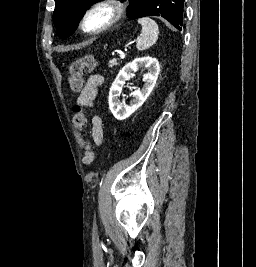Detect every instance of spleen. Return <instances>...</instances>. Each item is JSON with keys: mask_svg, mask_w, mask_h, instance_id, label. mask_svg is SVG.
<instances>
[{"mask_svg": "<svg viewBox=\"0 0 256 267\" xmlns=\"http://www.w3.org/2000/svg\"><path fill=\"white\" fill-rule=\"evenodd\" d=\"M138 24H141L142 30L136 44L137 50H148L151 46H154L158 40L159 28L151 18H140Z\"/></svg>", "mask_w": 256, "mask_h": 267, "instance_id": "1", "label": "spleen"}]
</instances>
